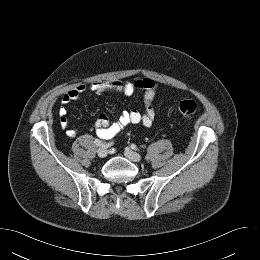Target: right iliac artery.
<instances>
[{"mask_svg": "<svg viewBox=\"0 0 260 260\" xmlns=\"http://www.w3.org/2000/svg\"><path fill=\"white\" fill-rule=\"evenodd\" d=\"M102 138H107V137H102ZM95 144L100 147H108L111 146L112 143L105 144L102 143L99 139H95Z\"/></svg>", "mask_w": 260, "mask_h": 260, "instance_id": "1", "label": "right iliac artery"}]
</instances>
